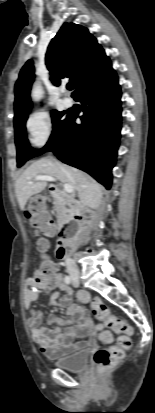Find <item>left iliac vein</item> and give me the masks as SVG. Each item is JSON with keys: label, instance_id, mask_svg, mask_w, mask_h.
Listing matches in <instances>:
<instances>
[{"label": "left iliac vein", "instance_id": "1", "mask_svg": "<svg viewBox=\"0 0 155 413\" xmlns=\"http://www.w3.org/2000/svg\"><path fill=\"white\" fill-rule=\"evenodd\" d=\"M72 284H73L74 287H78L79 286V281L73 279Z\"/></svg>", "mask_w": 155, "mask_h": 413}]
</instances>
